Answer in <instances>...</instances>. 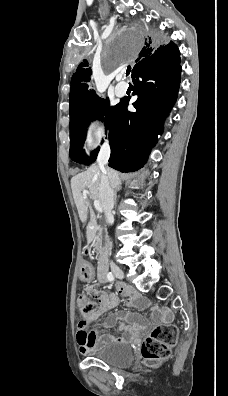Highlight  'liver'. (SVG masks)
Masks as SVG:
<instances>
[{"instance_id": "6515ba94", "label": "liver", "mask_w": 228, "mask_h": 396, "mask_svg": "<svg viewBox=\"0 0 228 396\" xmlns=\"http://www.w3.org/2000/svg\"><path fill=\"white\" fill-rule=\"evenodd\" d=\"M101 175L102 172L99 166L93 165L89 167L86 171L73 176L71 179V188L74 202L77 207L80 220L82 222H86L88 218L89 207V204L86 198L83 196L82 191H85L87 189L92 199L98 200L102 205L99 191ZM106 175L109 178L110 186L112 188H118L120 185V178L118 172L113 169H107ZM95 231L96 222L92 211H90V222L88 223L86 232L88 242H91L93 240Z\"/></svg>"}]
</instances>
